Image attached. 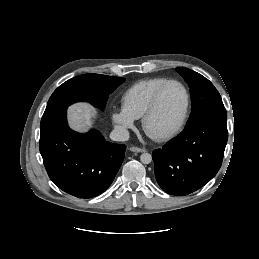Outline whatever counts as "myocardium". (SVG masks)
<instances>
[{"label":"myocardium","mask_w":259,"mask_h":259,"mask_svg":"<svg viewBox=\"0 0 259 259\" xmlns=\"http://www.w3.org/2000/svg\"><path fill=\"white\" fill-rule=\"evenodd\" d=\"M170 84H178L185 93L186 103H185V108H184L182 117H181L180 121L178 122V124L169 132H167L163 135H160V136H152L148 132L149 120L151 119V117L154 115V113L156 112V110L158 108L162 92ZM190 107H191V94H190L188 87L182 81H180L178 79H168L155 90L153 97L151 99V102L142 117V127H143L145 133L148 134L155 141H167V140L173 138L174 136H176L182 130V128L184 127V125L187 121Z\"/></svg>","instance_id":"f54148a6"}]
</instances>
